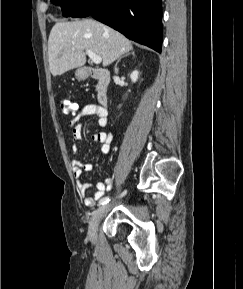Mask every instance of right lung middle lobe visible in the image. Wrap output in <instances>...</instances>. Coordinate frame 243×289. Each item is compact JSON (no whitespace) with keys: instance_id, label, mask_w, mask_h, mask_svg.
I'll list each match as a JSON object with an SVG mask.
<instances>
[{"instance_id":"right-lung-middle-lobe-1","label":"right lung middle lobe","mask_w":243,"mask_h":289,"mask_svg":"<svg viewBox=\"0 0 243 289\" xmlns=\"http://www.w3.org/2000/svg\"><path fill=\"white\" fill-rule=\"evenodd\" d=\"M90 0H51L53 4L62 8L63 16L69 17L79 8L87 4Z\"/></svg>"}]
</instances>
